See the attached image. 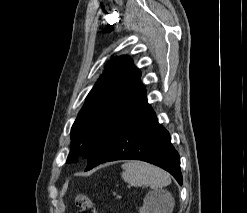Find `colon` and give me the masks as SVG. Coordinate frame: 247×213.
Listing matches in <instances>:
<instances>
[{
    "mask_svg": "<svg viewBox=\"0 0 247 213\" xmlns=\"http://www.w3.org/2000/svg\"><path fill=\"white\" fill-rule=\"evenodd\" d=\"M76 205L79 213H97L92 200L86 194H79L76 197Z\"/></svg>",
    "mask_w": 247,
    "mask_h": 213,
    "instance_id": "colon-1",
    "label": "colon"
}]
</instances>
